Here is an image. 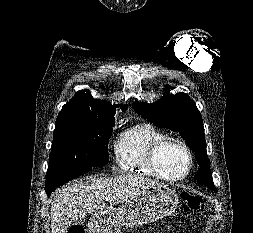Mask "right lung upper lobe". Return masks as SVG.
<instances>
[{"label":"right lung upper lobe","mask_w":253,"mask_h":233,"mask_svg":"<svg viewBox=\"0 0 253 233\" xmlns=\"http://www.w3.org/2000/svg\"><path fill=\"white\" fill-rule=\"evenodd\" d=\"M115 107H120L122 111H125L128 106L111 105L105 100L93 99L89 90H81L63 106L60 114H82L107 118L113 117L115 114Z\"/></svg>","instance_id":"1"}]
</instances>
